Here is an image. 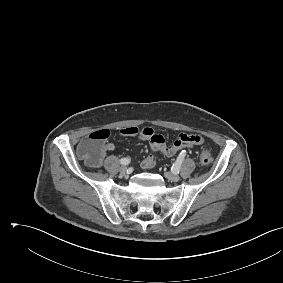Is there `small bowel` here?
<instances>
[{
    "mask_svg": "<svg viewBox=\"0 0 283 283\" xmlns=\"http://www.w3.org/2000/svg\"><path fill=\"white\" fill-rule=\"evenodd\" d=\"M119 134L129 137L138 136L143 140L149 141L153 153L147 155L142 161L141 166L144 169H151L155 166L154 153H161L167 157H171L182 149L193 148L197 145H201L204 142V138L201 135L180 134L172 145L167 146L164 137L149 127H125L119 131ZM114 148V144L110 142L104 144L103 146L104 152L113 151Z\"/></svg>",
    "mask_w": 283,
    "mask_h": 283,
    "instance_id": "small-bowel-1",
    "label": "small bowel"
}]
</instances>
